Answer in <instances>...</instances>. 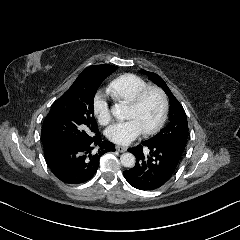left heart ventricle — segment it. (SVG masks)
<instances>
[{"instance_id":"left-heart-ventricle-1","label":"left heart ventricle","mask_w":240,"mask_h":240,"mask_svg":"<svg viewBox=\"0 0 240 240\" xmlns=\"http://www.w3.org/2000/svg\"><path fill=\"white\" fill-rule=\"evenodd\" d=\"M161 114V102L157 93L149 92L145 95L142 103L136 109L127 108L125 119H133L141 130L152 128L159 120Z\"/></svg>"}]
</instances>
